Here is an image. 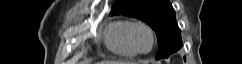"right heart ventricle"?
I'll use <instances>...</instances> for the list:
<instances>
[{
    "label": "right heart ventricle",
    "instance_id": "1",
    "mask_svg": "<svg viewBox=\"0 0 242 64\" xmlns=\"http://www.w3.org/2000/svg\"><path fill=\"white\" fill-rule=\"evenodd\" d=\"M132 21L119 19L112 22L105 31L106 47L116 55L122 57H135L137 53L130 46L127 33Z\"/></svg>",
    "mask_w": 242,
    "mask_h": 64
}]
</instances>
